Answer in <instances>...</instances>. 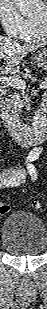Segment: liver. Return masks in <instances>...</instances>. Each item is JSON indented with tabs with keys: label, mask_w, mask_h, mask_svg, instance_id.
Instances as JSON below:
<instances>
[{
	"label": "liver",
	"mask_w": 47,
	"mask_h": 309,
	"mask_svg": "<svg viewBox=\"0 0 47 309\" xmlns=\"http://www.w3.org/2000/svg\"><path fill=\"white\" fill-rule=\"evenodd\" d=\"M37 48L35 45H22L10 38L0 37V59L5 63L0 68L2 75L19 72L20 61Z\"/></svg>",
	"instance_id": "liver-1"
}]
</instances>
